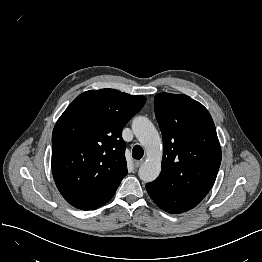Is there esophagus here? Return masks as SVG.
I'll return each mask as SVG.
<instances>
[{
	"mask_svg": "<svg viewBox=\"0 0 262 262\" xmlns=\"http://www.w3.org/2000/svg\"><path fill=\"white\" fill-rule=\"evenodd\" d=\"M143 163V160H135L134 165L136 168H138Z\"/></svg>",
	"mask_w": 262,
	"mask_h": 262,
	"instance_id": "esophagus-1",
	"label": "esophagus"
}]
</instances>
